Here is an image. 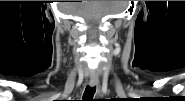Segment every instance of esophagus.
<instances>
[{
	"label": "esophagus",
	"mask_w": 185,
	"mask_h": 101,
	"mask_svg": "<svg viewBox=\"0 0 185 101\" xmlns=\"http://www.w3.org/2000/svg\"><path fill=\"white\" fill-rule=\"evenodd\" d=\"M89 85H90V87H96V88H98V86H99L98 79L95 78V77H91V79L89 81Z\"/></svg>",
	"instance_id": "obj_1"
}]
</instances>
